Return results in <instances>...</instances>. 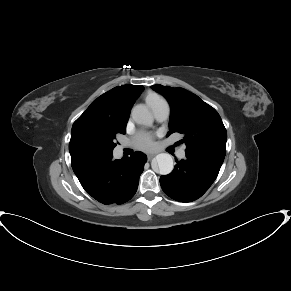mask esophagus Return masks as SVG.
Wrapping results in <instances>:
<instances>
[{"instance_id":"esophagus-1","label":"esophagus","mask_w":291,"mask_h":291,"mask_svg":"<svg viewBox=\"0 0 291 291\" xmlns=\"http://www.w3.org/2000/svg\"><path fill=\"white\" fill-rule=\"evenodd\" d=\"M155 153H149V154H147V158L150 160V159H152L153 157H155Z\"/></svg>"}]
</instances>
